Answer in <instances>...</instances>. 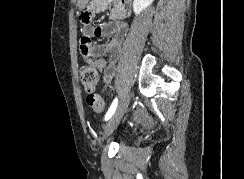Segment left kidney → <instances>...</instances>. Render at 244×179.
<instances>
[{"label": "left kidney", "instance_id": "left-kidney-1", "mask_svg": "<svg viewBox=\"0 0 244 179\" xmlns=\"http://www.w3.org/2000/svg\"><path fill=\"white\" fill-rule=\"evenodd\" d=\"M154 0H134L133 2V12L134 14H141L145 8H148Z\"/></svg>", "mask_w": 244, "mask_h": 179}]
</instances>
